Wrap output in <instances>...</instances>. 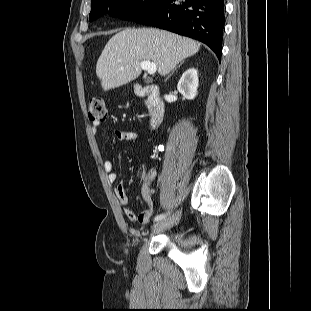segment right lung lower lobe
Segmentation results:
<instances>
[{"label": "right lung lower lobe", "mask_w": 311, "mask_h": 311, "mask_svg": "<svg viewBox=\"0 0 311 311\" xmlns=\"http://www.w3.org/2000/svg\"><path fill=\"white\" fill-rule=\"evenodd\" d=\"M160 0L133 21L199 40L221 58L225 24L223 0Z\"/></svg>", "instance_id": "right-lung-lower-lobe-1"}]
</instances>
